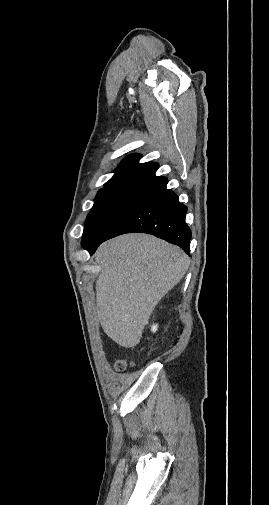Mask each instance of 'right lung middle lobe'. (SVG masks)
Returning a JSON list of instances; mask_svg holds the SVG:
<instances>
[{
	"instance_id": "right-lung-middle-lobe-1",
	"label": "right lung middle lobe",
	"mask_w": 269,
	"mask_h": 505,
	"mask_svg": "<svg viewBox=\"0 0 269 505\" xmlns=\"http://www.w3.org/2000/svg\"><path fill=\"white\" fill-rule=\"evenodd\" d=\"M137 191L122 187H105L98 191L94 206L85 221L83 247L96 241L111 219Z\"/></svg>"
}]
</instances>
